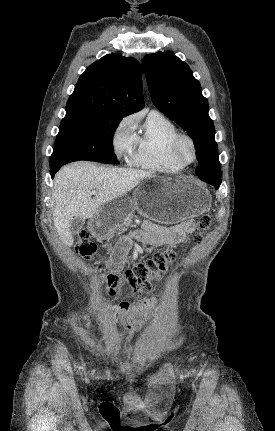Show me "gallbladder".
Masks as SVG:
<instances>
[{
  "mask_svg": "<svg viewBox=\"0 0 275 431\" xmlns=\"http://www.w3.org/2000/svg\"><path fill=\"white\" fill-rule=\"evenodd\" d=\"M85 224V219L80 217H74L70 224L71 234L76 235L80 232Z\"/></svg>",
  "mask_w": 275,
  "mask_h": 431,
  "instance_id": "obj_1",
  "label": "gallbladder"
}]
</instances>
